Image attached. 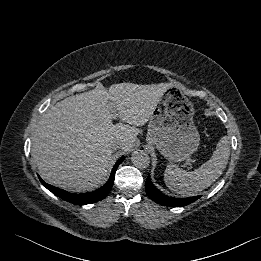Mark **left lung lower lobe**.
<instances>
[{
  "instance_id": "obj_1",
  "label": "left lung lower lobe",
  "mask_w": 261,
  "mask_h": 261,
  "mask_svg": "<svg viewBox=\"0 0 261 261\" xmlns=\"http://www.w3.org/2000/svg\"><path fill=\"white\" fill-rule=\"evenodd\" d=\"M145 189L146 193L149 196L150 199L155 201L158 204L164 205V206H170V207H183L186 206L197 199H199L201 196H194L189 198H173L164 195L161 193L150 181V176L146 179L145 182Z\"/></svg>"
}]
</instances>
